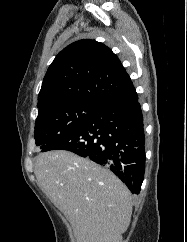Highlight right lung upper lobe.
<instances>
[{"mask_svg":"<svg viewBox=\"0 0 187 242\" xmlns=\"http://www.w3.org/2000/svg\"><path fill=\"white\" fill-rule=\"evenodd\" d=\"M135 91L118 57L94 40L76 41L49 66L38 95V114L74 102L103 106Z\"/></svg>","mask_w":187,"mask_h":242,"instance_id":"obj_1","label":"right lung upper lobe"}]
</instances>
